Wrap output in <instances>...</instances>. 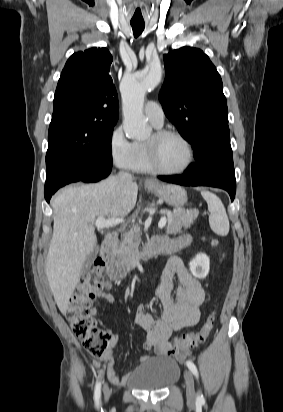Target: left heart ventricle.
Listing matches in <instances>:
<instances>
[{
	"instance_id": "obj_1",
	"label": "left heart ventricle",
	"mask_w": 283,
	"mask_h": 412,
	"mask_svg": "<svg viewBox=\"0 0 283 412\" xmlns=\"http://www.w3.org/2000/svg\"><path fill=\"white\" fill-rule=\"evenodd\" d=\"M187 159V148L179 139L168 136L160 140L157 148V160L161 168L166 170L180 169L185 165Z\"/></svg>"
}]
</instances>
